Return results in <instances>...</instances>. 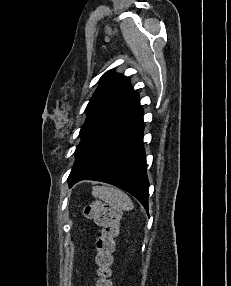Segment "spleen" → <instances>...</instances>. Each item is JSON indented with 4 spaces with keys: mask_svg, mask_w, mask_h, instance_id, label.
<instances>
[{
    "mask_svg": "<svg viewBox=\"0 0 231 286\" xmlns=\"http://www.w3.org/2000/svg\"><path fill=\"white\" fill-rule=\"evenodd\" d=\"M92 195L124 211H130L134 208L131 198L117 188L94 186L92 187Z\"/></svg>",
    "mask_w": 231,
    "mask_h": 286,
    "instance_id": "spleen-1",
    "label": "spleen"
}]
</instances>
